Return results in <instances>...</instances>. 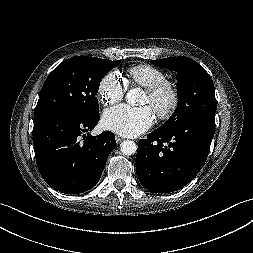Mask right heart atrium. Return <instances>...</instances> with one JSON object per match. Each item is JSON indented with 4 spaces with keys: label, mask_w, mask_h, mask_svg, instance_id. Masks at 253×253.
<instances>
[{
    "label": "right heart atrium",
    "mask_w": 253,
    "mask_h": 253,
    "mask_svg": "<svg viewBox=\"0 0 253 253\" xmlns=\"http://www.w3.org/2000/svg\"><path fill=\"white\" fill-rule=\"evenodd\" d=\"M127 90L125 80L116 72H108L99 82L97 94L104 106H111L120 102Z\"/></svg>",
    "instance_id": "d8ad5b80"
}]
</instances>
